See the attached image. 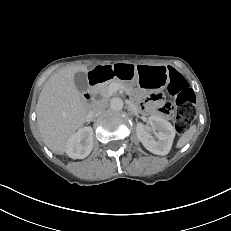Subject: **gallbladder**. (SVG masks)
I'll return each instance as SVG.
<instances>
[{
  "instance_id": "obj_1",
  "label": "gallbladder",
  "mask_w": 231,
  "mask_h": 231,
  "mask_svg": "<svg viewBox=\"0 0 231 231\" xmlns=\"http://www.w3.org/2000/svg\"><path fill=\"white\" fill-rule=\"evenodd\" d=\"M74 82L79 91L83 92L88 89V82L84 72H77L74 76Z\"/></svg>"
}]
</instances>
